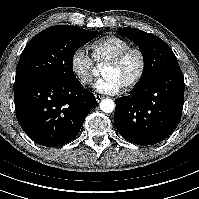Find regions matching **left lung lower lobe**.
<instances>
[{
    "label": "left lung lower lobe",
    "mask_w": 199,
    "mask_h": 199,
    "mask_svg": "<svg viewBox=\"0 0 199 199\" xmlns=\"http://www.w3.org/2000/svg\"><path fill=\"white\" fill-rule=\"evenodd\" d=\"M184 77L178 66L136 86L116 101L114 124L120 135L138 145H153L166 139L182 117Z\"/></svg>",
    "instance_id": "1"
}]
</instances>
